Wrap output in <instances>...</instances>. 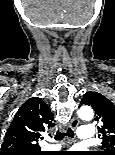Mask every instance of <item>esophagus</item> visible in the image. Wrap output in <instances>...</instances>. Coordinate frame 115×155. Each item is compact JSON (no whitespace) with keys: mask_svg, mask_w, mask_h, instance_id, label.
<instances>
[{"mask_svg":"<svg viewBox=\"0 0 115 155\" xmlns=\"http://www.w3.org/2000/svg\"><path fill=\"white\" fill-rule=\"evenodd\" d=\"M78 124H79V121L77 118H73L70 123H69V127L72 129V130H75L77 127H78Z\"/></svg>","mask_w":115,"mask_h":155,"instance_id":"obj_1","label":"esophagus"}]
</instances>
